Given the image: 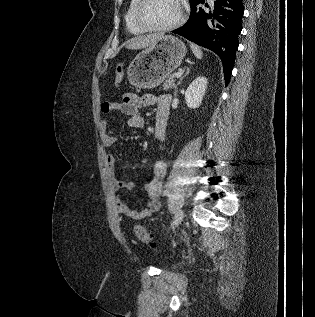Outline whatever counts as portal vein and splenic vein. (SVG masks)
<instances>
[{
	"mask_svg": "<svg viewBox=\"0 0 315 317\" xmlns=\"http://www.w3.org/2000/svg\"><path fill=\"white\" fill-rule=\"evenodd\" d=\"M181 75H182V72H181V71H179V72L175 73V77H176V78H180V77H181Z\"/></svg>",
	"mask_w": 315,
	"mask_h": 317,
	"instance_id": "obj_1",
	"label": "portal vein and splenic vein"
}]
</instances>
